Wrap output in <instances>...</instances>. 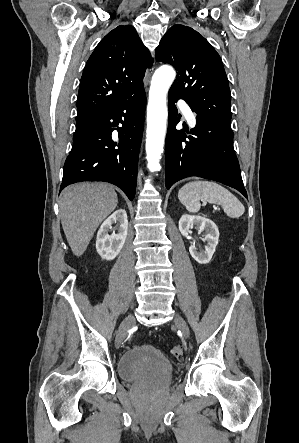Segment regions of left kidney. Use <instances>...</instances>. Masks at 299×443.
<instances>
[{
	"label": "left kidney",
	"instance_id": "1",
	"mask_svg": "<svg viewBox=\"0 0 299 443\" xmlns=\"http://www.w3.org/2000/svg\"><path fill=\"white\" fill-rule=\"evenodd\" d=\"M194 226L199 231L206 232L204 240L207 242V245L205 246V250L198 251L195 247V244H192L189 247V252L198 263L207 264L210 262L218 244V227L212 220L202 216H192L184 214L179 220V231L185 237L188 236L189 230Z\"/></svg>",
	"mask_w": 299,
	"mask_h": 443
}]
</instances>
